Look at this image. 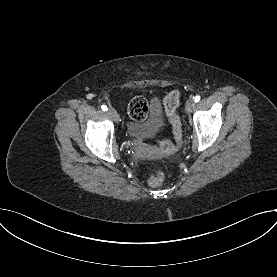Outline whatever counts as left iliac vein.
Masks as SVG:
<instances>
[{
    "instance_id": "left-iliac-vein-1",
    "label": "left iliac vein",
    "mask_w": 277,
    "mask_h": 277,
    "mask_svg": "<svg viewBox=\"0 0 277 277\" xmlns=\"http://www.w3.org/2000/svg\"><path fill=\"white\" fill-rule=\"evenodd\" d=\"M194 107H195V102H194V100H193L192 98H189V99L187 100V102H186V107H185L186 112H187V113H191L192 110L194 109Z\"/></svg>"
}]
</instances>
